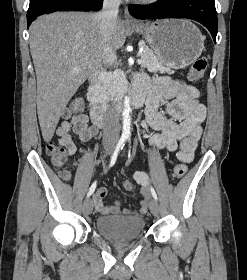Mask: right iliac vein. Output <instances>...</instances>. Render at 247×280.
<instances>
[{"mask_svg": "<svg viewBox=\"0 0 247 280\" xmlns=\"http://www.w3.org/2000/svg\"><path fill=\"white\" fill-rule=\"evenodd\" d=\"M113 152V146L112 145H108L105 148V153L107 155H110ZM83 213L85 215H89L92 212L93 209V203H92V199L91 198H87L84 202H83Z\"/></svg>", "mask_w": 247, "mask_h": 280, "instance_id": "63e3f726", "label": "right iliac vein"}]
</instances>
